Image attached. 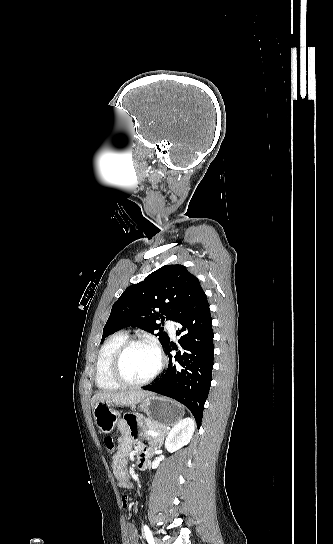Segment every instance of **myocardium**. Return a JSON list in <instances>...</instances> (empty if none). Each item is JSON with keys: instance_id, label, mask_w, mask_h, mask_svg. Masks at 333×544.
<instances>
[{"instance_id": "obj_1", "label": "myocardium", "mask_w": 333, "mask_h": 544, "mask_svg": "<svg viewBox=\"0 0 333 544\" xmlns=\"http://www.w3.org/2000/svg\"><path fill=\"white\" fill-rule=\"evenodd\" d=\"M137 345H143L151 348L158 358V364L153 373L148 378L141 381L133 382L128 380L124 376L122 371V363L124 356L129 351V349ZM165 362V357L157 343L147 338H132L122 343L114 353L110 364V375L112 379L121 386L130 388L142 387L150 384L158 377V375L161 373L165 366Z\"/></svg>"}]
</instances>
